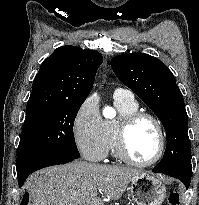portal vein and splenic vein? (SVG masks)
<instances>
[{
	"label": "portal vein and splenic vein",
	"mask_w": 199,
	"mask_h": 205,
	"mask_svg": "<svg viewBox=\"0 0 199 205\" xmlns=\"http://www.w3.org/2000/svg\"><path fill=\"white\" fill-rule=\"evenodd\" d=\"M92 196H97V192H94V193L92 194Z\"/></svg>",
	"instance_id": "obj_1"
}]
</instances>
